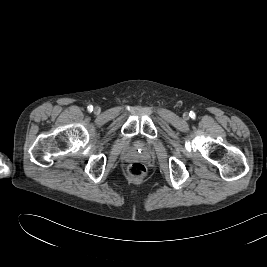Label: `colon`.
Segmentation results:
<instances>
[{"label":"colon","instance_id":"obj_1","mask_svg":"<svg viewBox=\"0 0 267 267\" xmlns=\"http://www.w3.org/2000/svg\"><path fill=\"white\" fill-rule=\"evenodd\" d=\"M128 173L133 179H142L146 175V167L136 162L129 166Z\"/></svg>","mask_w":267,"mask_h":267}]
</instances>
